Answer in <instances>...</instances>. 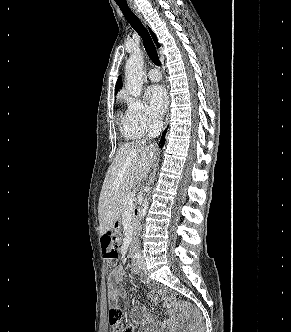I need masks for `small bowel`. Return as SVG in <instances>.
Segmentation results:
<instances>
[{"instance_id":"obj_1","label":"small bowel","mask_w":291,"mask_h":332,"mask_svg":"<svg viewBox=\"0 0 291 332\" xmlns=\"http://www.w3.org/2000/svg\"><path fill=\"white\" fill-rule=\"evenodd\" d=\"M121 252H126V247H121ZM131 271L138 274L139 271L136 267H132ZM125 274V269L123 266L119 265L113 268L110 273V282L108 286V298L111 303H117L118 300L124 299L126 297V291L120 286ZM150 298L155 302L163 301L164 305L168 308L167 302L169 297L164 296L163 291L158 288H154L150 293ZM169 309V308H168ZM169 318L163 322L156 321L154 317L149 314L144 309L137 307L134 309L135 321L140 324H152L153 330H162L165 328L175 327L181 323L182 318L180 315L174 313L173 310L169 309ZM132 332H148L142 330H135L131 327Z\"/></svg>"}]
</instances>
